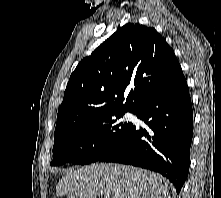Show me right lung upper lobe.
<instances>
[{
  "instance_id": "right-lung-upper-lobe-1",
  "label": "right lung upper lobe",
  "mask_w": 221,
  "mask_h": 198,
  "mask_svg": "<svg viewBox=\"0 0 221 198\" xmlns=\"http://www.w3.org/2000/svg\"><path fill=\"white\" fill-rule=\"evenodd\" d=\"M181 73L174 51L154 28L124 25L71 74L54 138L119 112L135 113Z\"/></svg>"
}]
</instances>
